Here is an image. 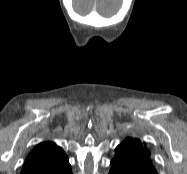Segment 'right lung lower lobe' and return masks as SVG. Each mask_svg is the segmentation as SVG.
I'll use <instances>...</instances> for the list:
<instances>
[{"label": "right lung lower lobe", "instance_id": "1", "mask_svg": "<svg viewBox=\"0 0 187 174\" xmlns=\"http://www.w3.org/2000/svg\"><path fill=\"white\" fill-rule=\"evenodd\" d=\"M64 174H72V172H71V168H70L69 171L65 172Z\"/></svg>", "mask_w": 187, "mask_h": 174}]
</instances>
